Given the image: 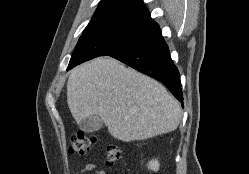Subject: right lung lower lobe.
I'll list each match as a JSON object with an SVG mask.
<instances>
[{
  "label": "right lung lower lobe",
  "instance_id": "right-lung-lower-lobe-1",
  "mask_svg": "<svg viewBox=\"0 0 249 174\" xmlns=\"http://www.w3.org/2000/svg\"><path fill=\"white\" fill-rule=\"evenodd\" d=\"M111 57L162 82L175 98L183 101L179 71L170 57L158 24L150 29L143 42Z\"/></svg>",
  "mask_w": 249,
  "mask_h": 174
}]
</instances>
